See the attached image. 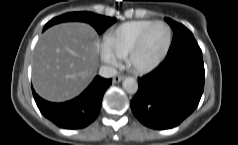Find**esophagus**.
<instances>
[{
	"instance_id": "1",
	"label": "esophagus",
	"mask_w": 238,
	"mask_h": 145,
	"mask_svg": "<svg viewBox=\"0 0 238 145\" xmlns=\"http://www.w3.org/2000/svg\"><path fill=\"white\" fill-rule=\"evenodd\" d=\"M123 79H124V76H123V75H116V76L113 77V83H114V84L119 83V82H121Z\"/></svg>"
}]
</instances>
